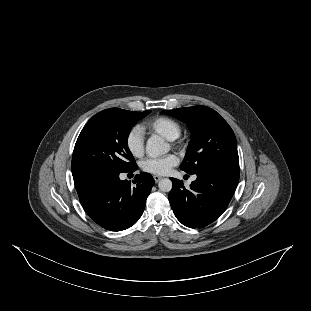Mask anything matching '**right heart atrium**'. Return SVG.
Instances as JSON below:
<instances>
[{
  "label": "right heart atrium",
  "instance_id": "right-heart-atrium-1",
  "mask_svg": "<svg viewBox=\"0 0 311 311\" xmlns=\"http://www.w3.org/2000/svg\"><path fill=\"white\" fill-rule=\"evenodd\" d=\"M127 151L135 158H140L144 153V130L139 125H133L125 136Z\"/></svg>",
  "mask_w": 311,
  "mask_h": 311
}]
</instances>
